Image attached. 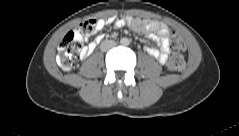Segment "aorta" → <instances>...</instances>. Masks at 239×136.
<instances>
[{
  "label": "aorta",
  "mask_w": 239,
  "mask_h": 136,
  "mask_svg": "<svg viewBox=\"0 0 239 136\" xmlns=\"http://www.w3.org/2000/svg\"><path fill=\"white\" fill-rule=\"evenodd\" d=\"M121 43L123 45H128L129 44V40L124 38V39L121 40Z\"/></svg>",
  "instance_id": "obj_1"
}]
</instances>
